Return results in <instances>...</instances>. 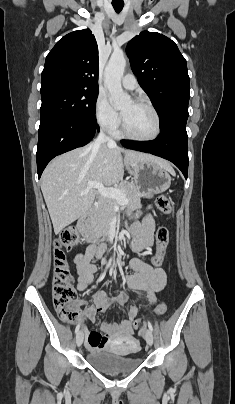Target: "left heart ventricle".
I'll return each instance as SVG.
<instances>
[{
	"mask_svg": "<svg viewBox=\"0 0 235 404\" xmlns=\"http://www.w3.org/2000/svg\"><path fill=\"white\" fill-rule=\"evenodd\" d=\"M127 130L137 137L151 136L155 130V118L152 112L133 101L120 109Z\"/></svg>",
	"mask_w": 235,
	"mask_h": 404,
	"instance_id": "obj_1",
	"label": "left heart ventricle"
}]
</instances>
